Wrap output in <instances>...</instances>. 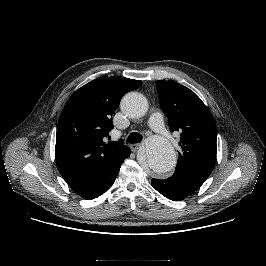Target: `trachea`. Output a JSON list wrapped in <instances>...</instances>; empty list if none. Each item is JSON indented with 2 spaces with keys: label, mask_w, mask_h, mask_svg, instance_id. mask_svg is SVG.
I'll return each instance as SVG.
<instances>
[{
  "label": "trachea",
  "mask_w": 266,
  "mask_h": 266,
  "mask_svg": "<svg viewBox=\"0 0 266 266\" xmlns=\"http://www.w3.org/2000/svg\"><path fill=\"white\" fill-rule=\"evenodd\" d=\"M142 141V136L137 132H132L127 139V142L133 144V143H139Z\"/></svg>",
  "instance_id": "obj_1"
}]
</instances>
